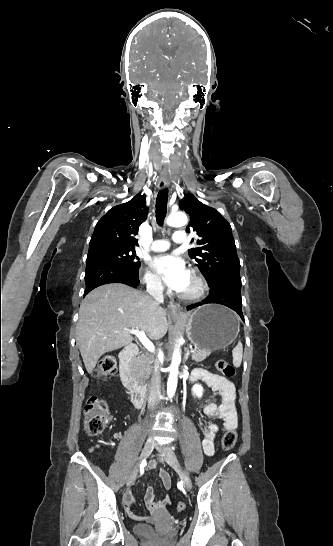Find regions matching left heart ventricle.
<instances>
[{"instance_id": "1", "label": "left heart ventricle", "mask_w": 333, "mask_h": 546, "mask_svg": "<svg viewBox=\"0 0 333 546\" xmlns=\"http://www.w3.org/2000/svg\"><path fill=\"white\" fill-rule=\"evenodd\" d=\"M196 288H197V285H196L195 281L193 280V278L191 277L187 287L185 288V290L183 292L184 293H192V292H194L196 290Z\"/></svg>"}]
</instances>
